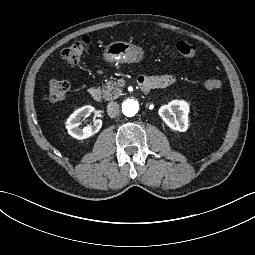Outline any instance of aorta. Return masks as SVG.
I'll use <instances>...</instances> for the list:
<instances>
[{
	"label": "aorta",
	"mask_w": 255,
	"mask_h": 255,
	"mask_svg": "<svg viewBox=\"0 0 255 255\" xmlns=\"http://www.w3.org/2000/svg\"><path fill=\"white\" fill-rule=\"evenodd\" d=\"M123 114L127 117H133L139 111V103L136 100L128 99L122 104Z\"/></svg>",
	"instance_id": "obj_1"
}]
</instances>
